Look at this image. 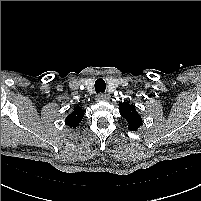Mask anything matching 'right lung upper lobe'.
Segmentation results:
<instances>
[{
	"mask_svg": "<svg viewBox=\"0 0 201 201\" xmlns=\"http://www.w3.org/2000/svg\"><path fill=\"white\" fill-rule=\"evenodd\" d=\"M83 116L84 112L77 106L74 108L73 112L66 117L65 122L69 127L76 128L82 121Z\"/></svg>",
	"mask_w": 201,
	"mask_h": 201,
	"instance_id": "cb5924a9",
	"label": "right lung upper lobe"
}]
</instances>
